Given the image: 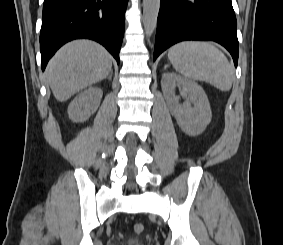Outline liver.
Segmentation results:
<instances>
[{"label": "liver", "instance_id": "1", "mask_svg": "<svg viewBox=\"0 0 283 245\" xmlns=\"http://www.w3.org/2000/svg\"><path fill=\"white\" fill-rule=\"evenodd\" d=\"M112 70V58L104 47L90 40L64 45L49 61L47 82L54 97L66 101L77 92L105 79Z\"/></svg>", "mask_w": 283, "mask_h": 245}]
</instances>
